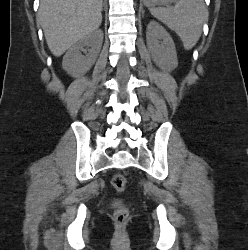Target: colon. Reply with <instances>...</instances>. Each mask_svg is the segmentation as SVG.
Listing matches in <instances>:
<instances>
[{"instance_id": "5ec220e1", "label": "colon", "mask_w": 248, "mask_h": 250, "mask_svg": "<svg viewBox=\"0 0 248 250\" xmlns=\"http://www.w3.org/2000/svg\"><path fill=\"white\" fill-rule=\"evenodd\" d=\"M112 187L116 192H123L126 189L127 180L122 174H116L111 179ZM128 212L126 209H119L114 214V219L117 223L121 224L127 219Z\"/></svg>"}]
</instances>
